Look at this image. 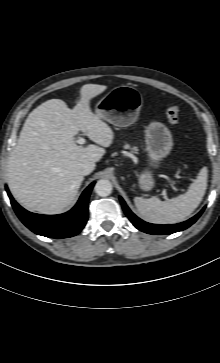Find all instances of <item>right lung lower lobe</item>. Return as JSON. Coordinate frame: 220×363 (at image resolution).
I'll list each match as a JSON object with an SVG mask.
<instances>
[{"mask_svg": "<svg viewBox=\"0 0 220 363\" xmlns=\"http://www.w3.org/2000/svg\"><path fill=\"white\" fill-rule=\"evenodd\" d=\"M94 184V182L91 183L84 190L79 201L70 211L60 215H40L28 212L13 199L7 187L6 191L17 216L31 231L49 238H68L78 234L87 222V204Z\"/></svg>", "mask_w": 220, "mask_h": 363, "instance_id": "obj_1", "label": "right lung lower lobe"}]
</instances>
